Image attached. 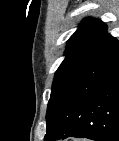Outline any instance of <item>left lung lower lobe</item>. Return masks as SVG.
I'll list each match as a JSON object with an SVG mask.
<instances>
[{"mask_svg": "<svg viewBox=\"0 0 119 141\" xmlns=\"http://www.w3.org/2000/svg\"><path fill=\"white\" fill-rule=\"evenodd\" d=\"M119 141V42L107 35L93 61L50 98L45 141Z\"/></svg>", "mask_w": 119, "mask_h": 141, "instance_id": "0a47b994", "label": "left lung lower lobe"}]
</instances>
